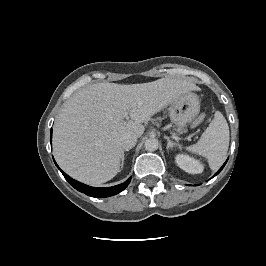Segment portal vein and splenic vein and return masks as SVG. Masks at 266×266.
Here are the masks:
<instances>
[{"instance_id":"18ae733b","label":"portal vein and splenic vein","mask_w":266,"mask_h":266,"mask_svg":"<svg viewBox=\"0 0 266 266\" xmlns=\"http://www.w3.org/2000/svg\"><path fill=\"white\" fill-rule=\"evenodd\" d=\"M127 116H128V113H125V114H124V118H127Z\"/></svg>"}]
</instances>
